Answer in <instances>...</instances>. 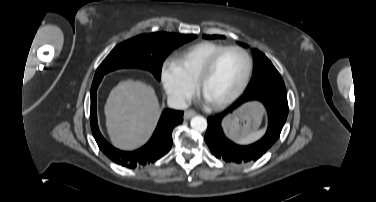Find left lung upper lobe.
<instances>
[{"label": "left lung upper lobe", "mask_w": 376, "mask_h": 202, "mask_svg": "<svg viewBox=\"0 0 376 202\" xmlns=\"http://www.w3.org/2000/svg\"><path fill=\"white\" fill-rule=\"evenodd\" d=\"M220 35H203L205 39L222 38ZM246 47V45L242 44ZM255 69L252 79L242 97H251L261 93H272L287 97L285 84L281 75L271 61L259 50L253 49Z\"/></svg>", "instance_id": "1"}]
</instances>
